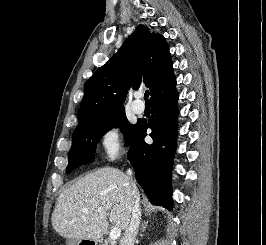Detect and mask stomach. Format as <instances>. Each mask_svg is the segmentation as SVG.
<instances>
[{
  "mask_svg": "<svg viewBox=\"0 0 266 245\" xmlns=\"http://www.w3.org/2000/svg\"><path fill=\"white\" fill-rule=\"evenodd\" d=\"M82 241H75V243H73V245H81ZM93 245H96L95 241L93 243Z\"/></svg>",
  "mask_w": 266,
  "mask_h": 245,
  "instance_id": "0dacf381",
  "label": "stomach"
}]
</instances>
